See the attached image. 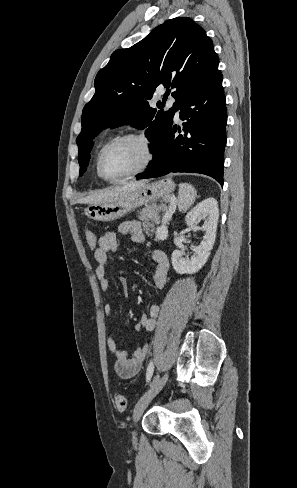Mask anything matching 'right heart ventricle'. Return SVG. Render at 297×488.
<instances>
[{
  "label": "right heart ventricle",
  "mask_w": 297,
  "mask_h": 488,
  "mask_svg": "<svg viewBox=\"0 0 297 488\" xmlns=\"http://www.w3.org/2000/svg\"><path fill=\"white\" fill-rule=\"evenodd\" d=\"M112 138H113V137H111V136H109V137L105 138V139H104V140L101 142V144L99 145V147H98V149H97V151H96V155H95V162H96V174H97V176H98V177H100V178H101V176H100V174H99V171H98V166H97L98 157H99V155H100V152H101L102 148H103V147L105 146V144H106L107 142H109V141H110Z\"/></svg>",
  "instance_id": "right-heart-ventricle-1"
}]
</instances>
